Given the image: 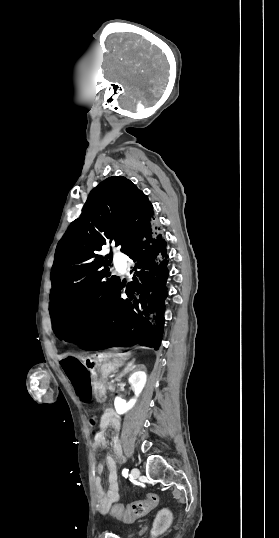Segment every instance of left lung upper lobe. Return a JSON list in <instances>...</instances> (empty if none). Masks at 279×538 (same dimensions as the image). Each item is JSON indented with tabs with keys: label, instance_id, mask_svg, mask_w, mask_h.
I'll return each mask as SVG.
<instances>
[{
	"label": "left lung upper lobe",
	"instance_id": "5c2ea615",
	"mask_svg": "<svg viewBox=\"0 0 279 538\" xmlns=\"http://www.w3.org/2000/svg\"><path fill=\"white\" fill-rule=\"evenodd\" d=\"M153 215L147 196L125 177H109L91 191L55 251L50 314L59 339L68 332L91 336L104 323L120 280L109 273L112 253H98L106 244L126 253L154 226Z\"/></svg>",
	"mask_w": 279,
	"mask_h": 538
}]
</instances>
